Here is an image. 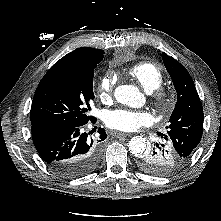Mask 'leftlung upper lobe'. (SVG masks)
Wrapping results in <instances>:
<instances>
[{"label":"left lung upper lobe","instance_id":"5c2ea615","mask_svg":"<svg viewBox=\"0 0 221 221\" xmlns=\"http://www.w3.org/2000/svg\"><path fill=\"white\" fill-rule=\"evenodd\" d=\"M162 58L177 91V102L166 135L177 153L189 160L202 138L203 107L195 84L183 65L164 52Z\"/></svg>","mask_w":221,"mask_h":221}]
</instances>
